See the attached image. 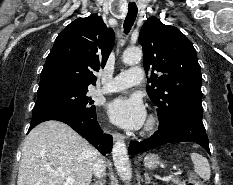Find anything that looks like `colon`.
I'll return each mask as SVG.
<instances>
[{"label":"colon","mask_w":233,"mask_h":185,"mask_svg":"<svg viewBox=\"0 0 233 185\" xmlns=\"http://www.w3.org/2000/svg\"><path fill=\"white\" fill-rule=\"evenodd\" d=\"M189 185H204L200 178L192 176Z\"/></svg>","instance_id":"obj_1"}]
</instances>
